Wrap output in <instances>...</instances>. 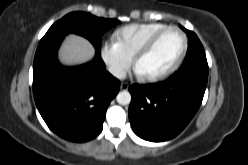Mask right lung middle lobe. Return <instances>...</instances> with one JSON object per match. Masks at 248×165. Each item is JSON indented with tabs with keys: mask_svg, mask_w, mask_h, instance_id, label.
<instances>
[{
	"mask_svg": "<svg viewBox=\"0 0 248 165\" xmlns=\"http://www.w3.org/2000/svg\"><path fill=\"white\" fill-rule=\"evenodd\" d=\"M117 19L98 18L85 12H72L55 22L41 39L40 44L50 39L75 33L87 38L100 52L102 35L118 24Z\"/></svg>",
	"mask_w": 248,
	"mask_h": 165,
	"instance_id": "obj_1",
	"label": "right lung middle lobe"
}]
</instances>
